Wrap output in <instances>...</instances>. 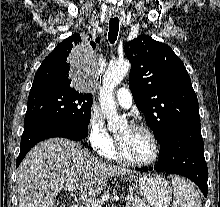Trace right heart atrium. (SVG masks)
Returning <instances> with one entry per match:
<instances>
[{
  "label": "right heart atrium",
  "mask_w": 220,
  "mask_h": 207,
  "mask_svg": "<svg viewBox=\"0 0 220 207\" xmlns=\"http://www.w3.org/2000/svg\"><path fill=\"white\" fill-rule=\"evenodd\" d=\"M88 140L91 147L103 154L114 147V139L107 131L102 116L92 111L88 120Z\"/></svg>",
  "instance_id": "d8ad5b80"
}]
</instances>
